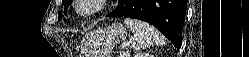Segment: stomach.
Returning <instances> with one entry per match:
<instances>
[{
  "instance_id": "0dacf381",
  "label": "stomach",
  "mask_w": 249,
  "mask_h": 57,
  "mask_svg": "<svg viewBox=\"0 0 249 57\" xmlns=\"http://www.w3.org/2000/svg\"><path fill=\"white\" fill-rule=\"evenodd\" d=\"M127 36L121 23L88 33L83 39V57H110L113 47Z\"/></svg>"
}]
</instances>
